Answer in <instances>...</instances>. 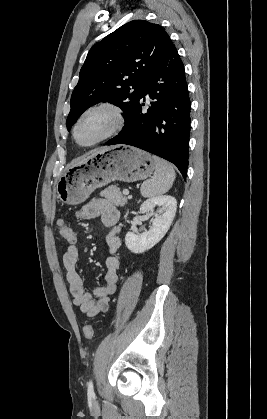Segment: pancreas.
Listing matches in <instances>:
<instances>
[{"mask_svg":"<svg viewBox=\"0 0 267 419\" xmlns=\"http://www.w3.org/2000/svg\"><path fill=\"white\" fill-rule=\"evenodd\" d=\"M100 196L105 197L108 201L112 202L118 207H123L127 204V198L122 194L117 185H111L105 190L100 192Z\"/></svg>","mask_w":267,"mask_h":419,"instance_id":"obj_1","label":"pancreas"}]
</instances>
